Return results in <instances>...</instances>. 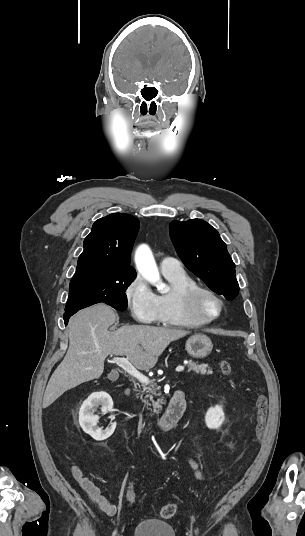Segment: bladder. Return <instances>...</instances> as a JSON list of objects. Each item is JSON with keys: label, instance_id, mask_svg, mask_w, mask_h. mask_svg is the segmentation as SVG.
Here are the masks:
<instances>
[{"label": "bladder", "instance_id": "obj_1", "mask_svg": "<svg viewBox=\"0 0 305 536\" xmlns=\"http://www.w3.org/2000/svg\"><path fill=\"white\" fill-rule=\"evenodd\" d=\"M132 536H175V529L170 521L148 517L134 525Z\"/></svg>", "mask_w": 305, "mask_h": 536}]
</instances>
